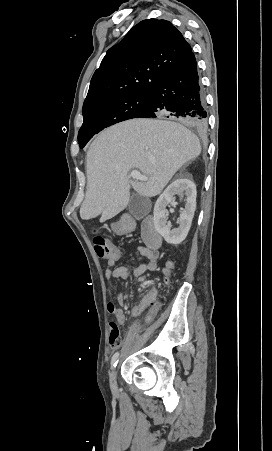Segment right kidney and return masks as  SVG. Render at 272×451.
Returning <instances> with one entry per match:
<instances>
[{"mask_svg":"<svg viewBox=\"0 0 272 451\" xmlns=\"http://www.w3.org/2000/svg\"><path fill=\"white\" fill-rule=\"evenodd\" d=\"M175 194H178L180 198L185 196V208L182 210L180 218H178L177 224L179 226L171 229L170 222H167L168 212L166 206L175 202ZM196 194V186L191 180L178 178L159 196L154 206V224L157 231L163 235L168 243H181L185 239L196 210Z\"/></svg>","mask_w":272,"mask_h":451,"instance_id":"obj_1","label":"right kidney"}]
</instances>
